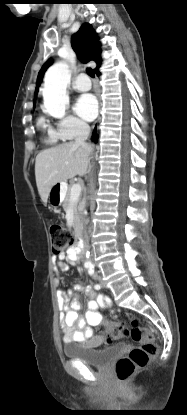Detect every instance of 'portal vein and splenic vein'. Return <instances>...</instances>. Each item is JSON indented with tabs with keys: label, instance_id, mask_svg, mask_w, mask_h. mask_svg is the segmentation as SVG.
Wrapping results in <instances>:
<instances>
[{
	"label": "portal vein and splenic vein",
	"instance_id": "portal-vein-and-splenic-vein-1",
	"mask_svg": "<svg viewBox=\"0 0 187 415\" xmlns=\"http://www.w3.org/2000/svg\"><path fill=\"white\" fill-rule=\"evenodd\" d=\"M81 194V185L79 183L73 184L71 188V201H77Z\"/></svg>",
	"mask_w": 187,
	"mask_h": 415
}]
</instances>
